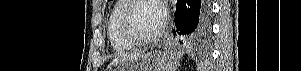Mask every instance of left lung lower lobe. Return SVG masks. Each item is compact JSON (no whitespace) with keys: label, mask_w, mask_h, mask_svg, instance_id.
Listing matches in <instances>:
<instances>
[{"label":"left lung lower lobe","mask_w":301,"mask_h":71,"mask_svg":"<svg viewBox=\"0 0 301 71\" xmlns=\"http://www.w3.org/2000/svg\"><path fill=\"white\" fill-rule=\"evenodd\" d=\"M210 15V0H177L175 25L176 32L181 35V43L205 45L211 33Z\"/></svg>","instance_id":"obj_1"}]
</instances>
